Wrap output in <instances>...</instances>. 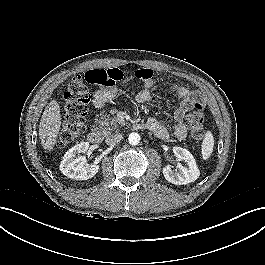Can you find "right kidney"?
<instances>
[{
  "label": "right kidney",
  "instance_id": "right-kidney-1",
  "mask_svg": "<svg viewBox=\"0 0 265 265\" xmlns=\"http://www.w3.org/2000/svg\"><path fill=\"white\" fill-rule=\"evenodd\" d=\"M88 148V142H81L65 153L60 164V170L65 176L76 180H87L98 172L97 163L87 164L85 156L75 158L76 155L87 152Z\"/></svg>",
  "mask_w": 265,
  "mask_h": 265
}]
</instances>
